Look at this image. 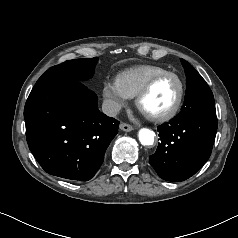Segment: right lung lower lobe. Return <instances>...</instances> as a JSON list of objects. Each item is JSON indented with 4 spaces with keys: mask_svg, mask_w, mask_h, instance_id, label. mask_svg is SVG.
<instances>
[{
    "mask_svg": "<svg viewBox=\"0 0 238 238\" xmlns=\"http://www.w3.org/2000/svg\"><path fill=\"white\" fill-rule=\"evenodd\" d=\"M97 99L77 80L33 87L24 108L26 138L47 173L78 181L95 175L119 125L98 110Z\"/></svg>",
    "mask_w": 238,
    "mask_h": 238,
    "instance_id": "1",
    "label": "right lung lower lobe"
}]
</instances>
